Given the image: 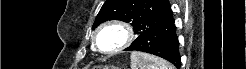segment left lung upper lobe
Masks as SVG:
<instances>
[{
	"label": "left lung upper lobe",
	"instance_id": "5c2ea615",
	"mask_svg": "<svg viewBox=\"0 0 246 69\" xmlns=\"http://www.w3.org/2000/svg\"><path fill=\"white\" fill-rule=\"evenodd\" d=\"M173 16L168 0H107L99 11L93 29L107 20L129 22L134 33L169 20Z\"/></svg>",
	"mask_w": 246,
	"mask_h": 69
}]
</instances>
